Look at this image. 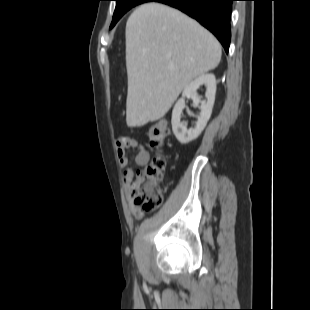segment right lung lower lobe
I'll list each match as a JSON object with an SVG mask.
<instances>
[{"mask_svg": "<svg viewBox=\"0 0 310 310\" xmlns=\"http://www.w3.org/2000/svg\"><path fill=\"white\" fill-rule=\"evenodd\" d=\"M170 5L196 19L210 30L228 52L232 1L235 0H151Z\"/></svg>", "mask_w": 310, "mask_h": 310, "instance_id": "obj_1", "label": "right lung lower lobe"}]
</instances>
